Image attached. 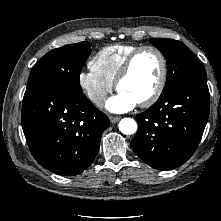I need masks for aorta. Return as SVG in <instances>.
Masks as SVG:
<instances>
[{"label":"aorta","instance_id":"1","mask_svg":"<svg viewBox=\"0 0 221 221\" xmlns=\"http://www.w3.org/2000/svg\"><path fill=\"white\" fill-rule=\"evenodd\" d=\"M119 130L125 135H132L137 131V122L132 118H123L119 122Z\"/></svg>","mask_w":221,"mask_h":221}]
</instances>
